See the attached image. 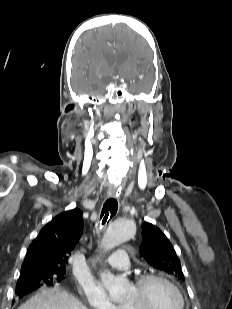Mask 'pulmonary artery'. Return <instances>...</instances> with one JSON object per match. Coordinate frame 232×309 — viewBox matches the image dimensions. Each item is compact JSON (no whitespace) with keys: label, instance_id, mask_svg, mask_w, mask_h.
<instances>
[{"label":"pulmonary artery","instance_id":"obj_1","mask_svg":"<svg viewBox=\"0 0 232 309\" xmlns=\"http://www.w3.org/2000/svg\"><path fill=\"white\" fill-rule=\"evenodd\" d=\"M104 264L114 269L126 270L130 266L129 252L125 249H120L114 255L106 259Z\"/></svg>","mask_w":232,"mask_h":309}]
</instances>
